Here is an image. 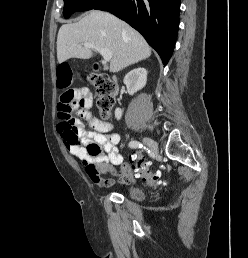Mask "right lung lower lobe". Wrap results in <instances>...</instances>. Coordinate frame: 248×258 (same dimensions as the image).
<instances>
[{
    "label": "right lung lower lobe",
    "mask_w": 248,
    "mask_h": 258,
    "mask_svg": "<svg viewBox=\"0 0 248 258\" xmlns=\"http://www.w3.org/2000/svg\"><path fill=\"white\" fill-rule=\"evenodd\" d=\"M95 9L109 11L139 31L166 66L177 38L180 0H108Z\"/></svg>",
    "instance_id": "98d812e1"
}]
</instances>
